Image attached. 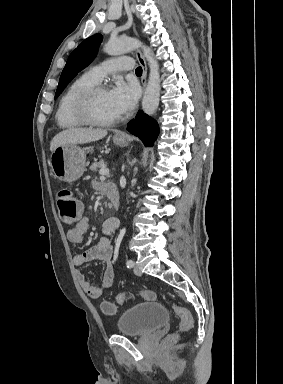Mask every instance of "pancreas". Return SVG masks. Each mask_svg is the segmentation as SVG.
Masks as SVG:
<instances>
[{"mask_svg": "<svg viewBox=\"0 0 283 384\" xmlns=\"http://www.w3.org/2000/svg\"><path fill=\"white\" fill-rule=\"evenodd\" d=\"M98 168H106V164H104V160H100V162H94V164L90 166V170H92V172H98Z\"/></svg>", "mask_w": 283, "mask_h": 384, "instance_id": "1", "label": "pancreas"}]
</instances>
